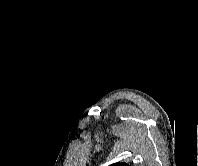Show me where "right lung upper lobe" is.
Listing matches in <instances>:
<instances>
[{
	"label": "right lung upper lobe",
	"mask_w": 198,
	"mask_h": 166,
	"mask_svg": "<svg viewBox=\"0 0 198 166\" xmlns=\"http://www.w3.org/2000/svg\"><path fill=\"white\" fill-rule=\"evenodd\" d=\"M110 166H129V165L126 164V163H114V164H112Z\"/></svg>",
	"instance_id": "obj_1"
}]
</instances>
